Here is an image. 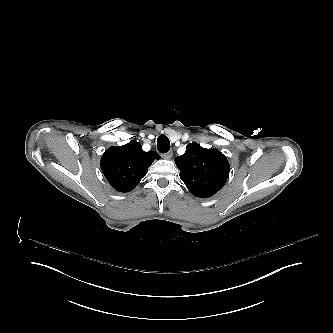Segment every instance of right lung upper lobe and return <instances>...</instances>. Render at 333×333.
Wrapping results in <instances>:
<instances>
[{"instance_id": "right-lung-upper-lobe-1", "label": "right lung upper lobe", "mask_w": 333, "mask_h": 333, "mask_svg": "<svg viewBox=\"0 0 333 333\" xmlns=\"http://www.w3.org/2000/svg\"><path fill=\"white\" fill-rule=\"evenodd\" d=\"M160 155L155 151L145 152L135 140L108 148L101 158V169L109 183L120 192L133 190L147 174L148 167Z\"/></svg>"}]
</instances>
